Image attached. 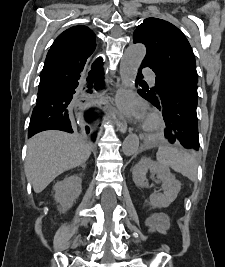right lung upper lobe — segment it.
I'll list each match as a JSON object with an SVG mask.
<instances>
[{"mask_svg":"<svg viewBox=\"0 0 225 267\" xmlns=\"http://www.w3.org/2000/svg\"><path fill=\"white\" fill-rule=\"evenodd\" d=\"M52 47L85 48L88 51H93L96 48L95 34L84 25L74 26L61 33Z\"/></svg>","mask_w":225,"mask_h":267,"instance_id":"right-lung-upper-lobe-1","label":"right lung upper lobe"}]
</instances>
